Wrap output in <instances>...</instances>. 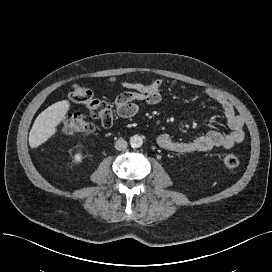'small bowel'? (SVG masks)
Returning a JSON list of instances; mask_svg holds the SVG:
<instances>
[{"mask_svg":"<svg viewBox=\"0 0 272 272\" xmlns=\"http://www.w3.org/2000/svg\"><path fill=\"white\" fill-rule=\"evenodd\" d=\"M166 82V78H158L148 84L123 82L122 86L131 89V91L123 92L116 97L115 107L118 116L129 119L138 114L144 105L158 104L162 99L161 91ZM178 85L180 88L186 89L184 83L178 82ZM205 94L221 108L230 132L222 133L211 130L191 141H177L170 134L163 133L158 137V144L161 148L173 153H190L209 151L217 147L230 149L244 140L245 121L243 116L219 91L207 89Z\"/></svg>","mask_w":272,"mask_h":272,"instance_id":"c3829d8e","label":"small bowel"}]
</instances>
